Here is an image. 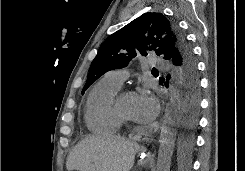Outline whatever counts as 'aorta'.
I'll return each mask as SVG.
<instances>
[{
  "mask_svg": "<svg viewBox=\"0 0 245 171\" xmlns=\"http://www.w3.org/2000/svg\"><path fill=\"white\" fill-rule=\"evenodd\" d=\"M179 110V90L176 82H173L170 86L169 102L166 106L161 126L156 171H170L176 140V126L180 120Z\"/></svg>",
  "mask_w": 245,
  "mask_h": 171,
  "instance_id": "aorta-1",
  "label": "aorta"
}]
</instances>
